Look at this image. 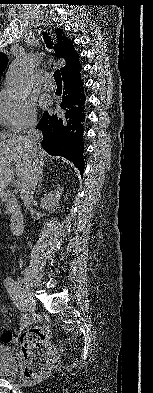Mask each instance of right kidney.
Instances as JSON below:
<instances>
[{
	"instance_id": "obj_1",
	"label": "right kidney",
	"mask_w": 153,
	"mask_h": 393,
	"mask_svg": "<svg viewBox=\"0 0 153 393\" xmlns=\"http://www.w3.org/2000/svg\"><path fill=\"white\" fill-rule=\"evenodd\" d=\"M55 198H56V196H55ZM55 198L53 197V195H51L50 197H48L44 200L43 205L46 207H50L52 205H55ZM56 200H58V199L56 198Z\"/></svg>"
}]
</instances>
